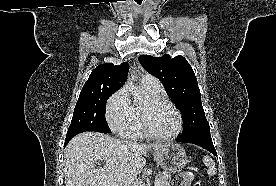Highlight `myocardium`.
I'll use <instances>...</instances> for the list:
<instances>
[{
    "mask_svg": "<svg viewBox=\"0 0 276 186\" xmlns=\"http://www.w3.org/2000/svg\"><path fill=\"white\" fill-rule=\"evenodd\" d=\"M149 104L152 107L160 106V105H167V106L171 107L178 117V127H177L176 131L174 133H172L171 135L165 136V135L156 134L152 130V128L149 124L147 109L144 107L142 109V113H141V121H142V126H143V129H144L146 135L152 139L159 140V141H170V140L177 138L180 135V133L182 132L183 127H184V120H183V116H182V113L180 112V110L170 100L162 98V97L152 98L150 100Z\"/></svg>",
    "mask_w": 276,
    "mask_h": 186,
    "instance_id": "myocardium-1",
    "label": "myocardium"
}]
</instances>
